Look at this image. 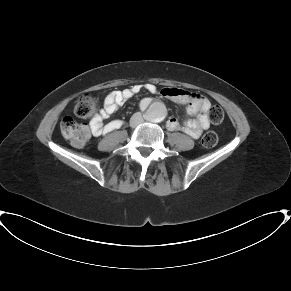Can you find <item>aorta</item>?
I'll list each match as a JSON object with an SVG mask.
<instances>
[{
	"label": "aorta",
	"instance_id": "obj_1",
	"mask_svg": "<svg viewBox=\"0 0 291 291\" xmlns=\"http://www.w3.org/2000/svg\"><path fill=\"white\" fill-rule=\"evenodd\" d=\"M146 115L150 121L159 122L164 119L166 115V109L161 103H153L147 110Z\"/></svg>",
	"mask_w": 291,
	"mask_h": 291
}]
</instances>
